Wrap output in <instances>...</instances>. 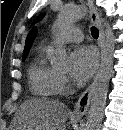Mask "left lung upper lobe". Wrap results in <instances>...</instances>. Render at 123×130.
Returning <instances> with one entry per match:
<instances>
[{"label":"left lung upper lobe","instance_id":"5c2ea615","mask_svg":"<svg viewBox=\"0 0 123 130\" xmlns=\"http://www.w3.org/2000/svg\"><path fill=\"white\" fill-rule=\"evenodd\" d=\"M43 16H44V15L39 16V17L35 20L34 23H36V22L39 21L41 18H43Z\"/></svg>","mask_w":123,"mask_h":130}]
</instances>
